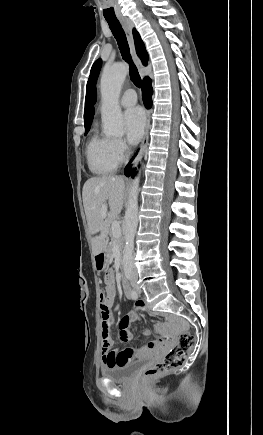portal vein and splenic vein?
Masks as SVG:
<instances>
[{"mask_svg":"<svg viewBox=\"0 0 263 435\" xmlns=\"http://www.w3.org/2000/svg\"><path fill=\"white\" fill-rule=\"evenodd\" d=\"M106 211H107V206L103 205L102 206V216L105 217L106 216ZM111 229H112V233L115 237H119L121 236V228H120V224L117 221H113L112 225H111Z\"/></svg>","mask_w":263,"mask_h":435,"instance_id":"portal-vein-and-splenic-vein-1","label":"portal vein and splenic vein"}]
</instances>
